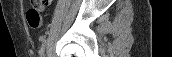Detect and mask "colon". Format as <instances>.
Returning a JSON list of instances; mask_svg holds the SVG:
<instances>
[{
    "label": "colon",
    "instance_id": "colon-1",
    "mask_svg": "<svg viewBox=\"0 0 172 57\" xmlns=\"http://www.w3.org/2000/svg\"><path fill=\"white\" fill-rule=\"evenodd\" d=\"M42 3L43 1H33V3ZM26 20L32 29H38L42 25V16L36 8H30L26 13Z\"/></svg>",
    "mask_w": 172,
    "mask_h": 57
}]
</instances>
